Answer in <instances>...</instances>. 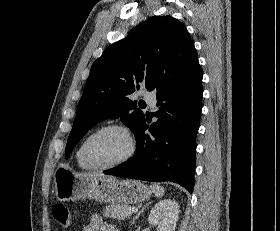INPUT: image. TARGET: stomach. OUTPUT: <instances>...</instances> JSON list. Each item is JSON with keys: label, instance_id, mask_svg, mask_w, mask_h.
<instances>
[{"label": "stomach", "instance_id": "1", "mask_svg": "<svg viewBox=\"0 0 280 231\" xmlns=\"http://www.w3.org/2000/svg\"><path fill=\"white\" fill-rule=\"evenodd\" d=\"M54 191L59 201L95 199L104 203H139L152 195L151 187L133 179L89 177L59 165L54 171Z\"/></svg>", "mask_w": 280, "mask_h": 231}]
</instances>
